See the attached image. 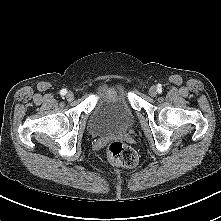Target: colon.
I'll return each instance as SVG.
<instances>
[{
    "label": "colon",
    "instance_id": "obj_1",
    "mask_svg": "<svg viewBox=\"0 0 221 221\" xmlns=\"http://www.w3.org/2000/svg\"><path fill=\"white\" fill-rule=\"evenodd\" d=\"M107 157L110 162L123 168H132L138 162L137 153L121 141H114L109 144Z\"/></svg>",
    "mask_w": 221,
    "mask_h": 221
}]
</instances>
